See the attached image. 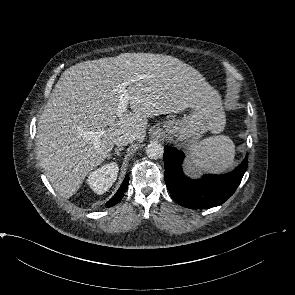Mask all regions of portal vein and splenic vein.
<instances>
[{
  "instance_id": "obj_1",
  "label": "portal vein and splenic vein",
  "mask_w": 295,
  "mask_h": 295,
  "mask_svg": "<svg viewBox=\"0 0 295 295\" xmlns=\"http://www.w3.org/2000/svg\"><path fill=\"white\" fill-rule=\"evenodd\" d=\"M126 83H122L117 86V92L119 93V105H118V116H121L127 110V106L129 103V97L126 93ZM85 137L89 139H94L96 142L99 141L101 136L103 135V131H88L83 134Z\"/></svg>"
}]
</instances>
